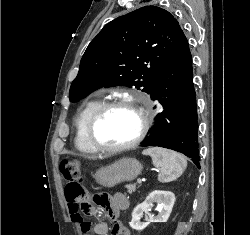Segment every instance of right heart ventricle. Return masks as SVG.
Listing matches in <instances>:
<instances>
[{
	"mask_svg": "<svg viewBox=\"0 0 250 235\" xmlns=\"http://www.w3.org/2000/svg\"><path fill=\"white\" fill-rule=\"evenodd\" d=\"M103 103L99 97L86 101L80 108L75 119V138L76 149L85 155H95L98 153L86 138V126L93 112Z\"/></svg>",
	"mask_w": 250,
	"mask_h": 235,
	"instance_id": "e07e8e85",
	"label": "right heart ventricle"
}]
</instances>
